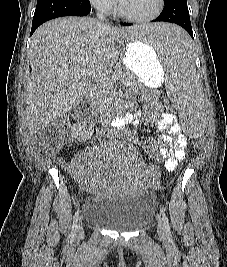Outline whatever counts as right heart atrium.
<instances>
[{
    "instance_id": "obj_1",
    "label": "right heart atrium",
    "mask_w": 227,
    "mask_h": 267,
    "mask_svg": "<svg viewBox=\"0 0 227 267\" xmlns=\"http://www.w3.org/2000/svg\"><path fill=\"white\" fill-rule=\"evenodd\" d=\"M89 2L94 8L105 14L112 12L114 9V0H89Z\"/></svg>"
}]
</instances>
